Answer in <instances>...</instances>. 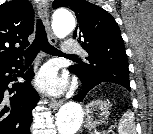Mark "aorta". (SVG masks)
Listing matches in <instances>:
<instances>
[{
	"mask_svg": "<svg viewBox=\"0 0 153 134\" xmlns=\"http://www.w3.org/2000/svg\"><path fill=\"white\" fill-rule=\"evenodd\" d=\"M53 30L57 37L64 38L75 28V19L66 10H58L53 16ZM83 110L77 102L64 104L56 115L59 134H75L83 121Z\"/></svg>",
	"mask_w": 153,
	"mask_h": 134,
	"instance_id": "aorta-1",
	"label": "aorta"
}]
</instances>
